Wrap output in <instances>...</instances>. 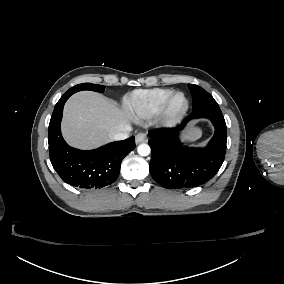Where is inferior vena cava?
<instances>
[{
    "label": "inferior vena cava",
    "instance_id": "602c4592",
    "mask_svg": "<svg viewBox=\"0 0 284 284\" xmlns=\"http://www.w3.org/2000/svg\"><path fill=\"white\" fill-rule=\"evenodd\" d=\"M131 131H132V128L130 126L126 125L120 131L116 132L112 136V140H125V139L129 138Z\"/></svg>",
    "mask_w": 284,
    "mask_h": 284
}]
</instances>
